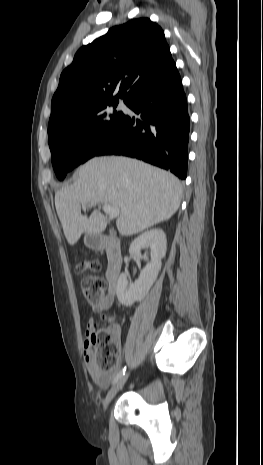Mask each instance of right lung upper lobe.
Instances as JSON below:
<instances>
[{
	"label": "right lung upper lobe",
	"mask_w": 263,
	"mask_h": 465,
	"mask_svg": "<svg viewBox=\"0 0 263 465\" xmlns=\"http://www.w3.org/2000/svg\"><path fill=\"white\" fill-rule=\"evenodd\" d=\"M175 63L160 26L138 18L81 47L61 74L49 123L97 102L124 98L169 72Z\"/></svg>",
	"instance_id": "cb5924a9"
}]
</instances>
